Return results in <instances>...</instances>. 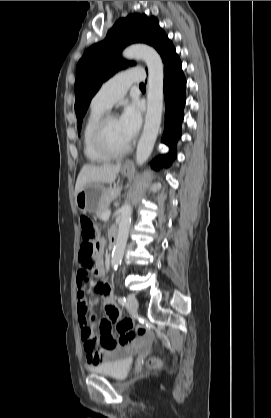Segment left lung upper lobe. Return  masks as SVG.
Returning <instances> with one entry per match:
<instances>
[{
    "label": "left lung upper lobe",
    "instance_id": "1",
    "mask_svg": "<svg viewBox=\"0 0 271 418\" xmlns=\"http://www.w3.org/2000/svg\"><path fill=\"white\" fill-rule=\"evenodd\" d=\"M167 39L155 17L135 13L119 19L102 42L91 46L84 53L76 68L75 112L78 130L81 129L83 116L92 97L102 83L125 67L120 57L121 50L131 43H146L160 53Z\"/></svg>",
    "mask_w": 271,
    "mask_h": 418
}]
</instances>
